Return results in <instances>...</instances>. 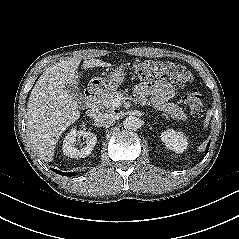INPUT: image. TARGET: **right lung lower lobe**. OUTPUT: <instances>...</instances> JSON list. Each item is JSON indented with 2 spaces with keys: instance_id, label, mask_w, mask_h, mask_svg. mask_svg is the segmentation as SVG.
Here are the masks:
<instances>
[{
  "instance_id": "obj_1",
  "label": "right lung lower lobe",
  "mask_w": 239,
  "mask_h": 239,
  "mask_svg": "<svg viewBox=\"0 0 239 239\" xmlns=\"http://www.w3.org/2000/svg\"><path fill=\"white\" fill-rule=\"evenodd\" d=\"M52 170H53L55 173L60 174V175H64V176H72V175H74L73 173H64V172H61V171L56 170V169H53V168H52Z\"/></svg>"
}]
</instances>
